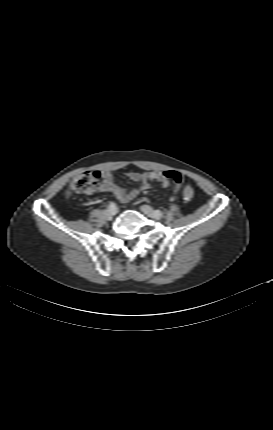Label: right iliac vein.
<instances>
[{
	"label": "right iliac vein",
	"mask_w": 273,
	"mask_h": 430,
	"mask_svg": "<svg viewBox=\"0 0 273 430\" xmlns=\"http://www.w3.org/2000/svg\"><path fill=\"white\" fill-rule=\"evenodd\" d=\"M117 212H118L117 208H115V209H108L106 211L107 215H109V216H115L117 214Z\"/></svg>",
	"instance_id": "63e3f726"
}]
</instances>
